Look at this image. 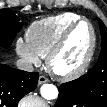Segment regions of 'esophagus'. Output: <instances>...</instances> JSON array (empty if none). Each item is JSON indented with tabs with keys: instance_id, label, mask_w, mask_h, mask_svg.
Masks as SVG:
<instances>
[{
	"instance_id": "1",
	"label": "esophagus",
	"mask_w": 107,
	"mask_h": 107,
	"mask_svg": "<svg viewBox=\"0 0 107 107\" xmlns=\"http://www.w3.org/2000/svg\"><path fill=\"white\" fill-rule=\"evenodd\" d=\"M48 81H49L48 78H46L45 76H39L38 79L39 84L47 83Z\"/></svg>"
}]
</instances>
